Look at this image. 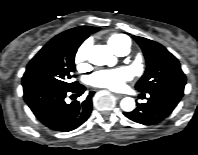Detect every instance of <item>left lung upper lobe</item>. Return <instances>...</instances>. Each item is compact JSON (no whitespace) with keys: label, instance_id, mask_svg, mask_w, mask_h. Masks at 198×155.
I'll use <instances>...</instances> for the list:
<instances>
[{"label":"left lung upper lobe","instance_id":"5c2ea615","mask_svg":"<svg viewBox=\"0 0 198 155\" xmlns=\"http://www.w3.org/2000/svg\"><path fill=\"white\" fill-rule=\"evenodd\" d=\"M133 38L141 47L147 62L145 74L137 82L136 89L143 93L159 89L184 91L186 76L177 58L155 41L138 36Z\"/></svg>","mask_w":198,"mask_h":155}]
</instances>
